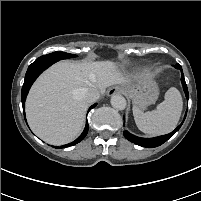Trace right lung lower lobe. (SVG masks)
<instances>
[{
	"label": "right lung lower lobe",
	"mask_w": 201,
	"mask_h": 201,
	"mask_svg": "<svg viewBox=\"0 0 201 201\" xmlns=\"http://www.w3.org/2000/svg\"><path fill=\"white\" fill-rule=\"evenodd\" d=\"M57 61H59V58H54L51 56L43 55V56L39 57L38 59H36L28 67V70H27L26 75H25L24 84L22 87L23 109H24L26 96H27L28 91H29L31 85L33 84V82L36 80V78L39 76V74H41L46 68H48L49 66H51L53 63H55ZM95 106H96V104L91 106L89 110H91ZM87 133H88V122H86V126H85L83 133L75 141H73L69 144H66L64 146H61L60 148L69 147V146H72V145L79 143L80 141H82L85 138ZM56 148L59 149V147H56Z\"/></svg>",
	"instance_id": "98d812e1"
}]
</instances>
